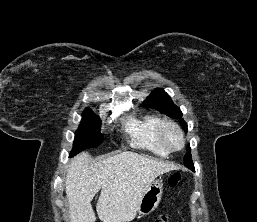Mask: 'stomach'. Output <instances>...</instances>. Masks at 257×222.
Listing matches in <instances>:
<instances>
[{"label":"stomach","instance_id":"obj_1","mask_svg":"<svg viewBox=\"0 0 257 222\" xmlns=\"http://www.w3.org/2000/svg\"><path fill=\"white\" fill-rule=\"evenodd\" d=\"M163 192L161 179L154 180L144 192L138 206L139 215L146 216L153 212L159 205Z\"/></svg>","mask_w":257,"mask_h":222}]
</instances>
